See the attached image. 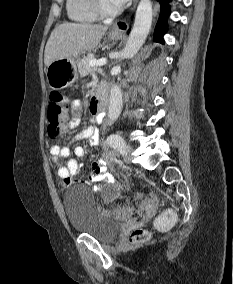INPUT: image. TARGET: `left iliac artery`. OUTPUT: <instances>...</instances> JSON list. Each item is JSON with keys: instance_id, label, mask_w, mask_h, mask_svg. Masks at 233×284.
<instances>
[{"instance_id": "1", "label": "left iliac artery", "mask_w": 233, "mask_h": 284, "mask_svg": "<svg viewBox=\"0 0 233 284\" xmlns=\"http://www.w3.org/2000/svg\"><path fill=\"white\" fill-rule=\"evenodd\" d=\"M107 143L115 150L119 151L120 153H123L126 148V143L123 140V138L119 135H110L107 138Z\"/></svg>"}]
</instances>
